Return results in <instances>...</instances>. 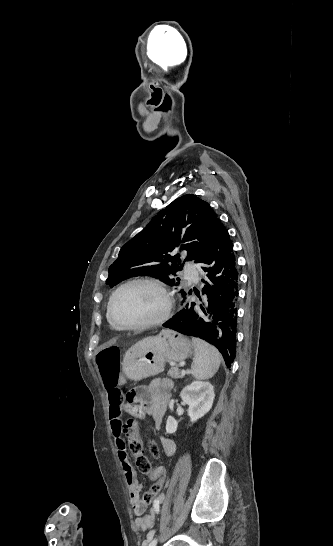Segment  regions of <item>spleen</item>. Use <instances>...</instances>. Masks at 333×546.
I'll return each mask as SVG.
<instances>
[{
	"label": "spleen",
	"mask_w": 333,
	"mask_h": 546,
	"mask_svg": "<svg viewBox=\"0 0 333 546\" xmlns=\"http://www.w3.org/2000/svg\"><path fill=\"white\" fill-rule=\"evenodd\" d=\"M195 356L191 365L192 375L198 380L212 378L218 371L221 355L209 343L199 338H192Z\"/></svg>",
	"instance_id": "obj_1"
}]
</instances>
